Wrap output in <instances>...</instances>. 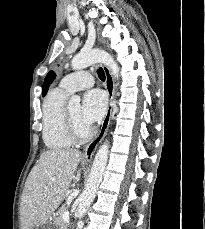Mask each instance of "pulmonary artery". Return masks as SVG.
Masks as SVG:
<instances>
[{
  "label": "pulmonary artery",
  "mask_w": 205,
  "mask_h": 229,
  "mask_svg": "<svg viewBox=\"0 0 205 229\" xmlns=\"http://www.w3.org/2000/svg\"><path fill=\"white\" fill-rule=\"evenodd\" d=\"M93 76L87 71H77L63 77L59 88L68 94L89 88L93 85Z\"/></svg>",
  "instance_id": "pulmonary-artery-1"
}]
</instances>
